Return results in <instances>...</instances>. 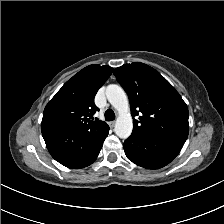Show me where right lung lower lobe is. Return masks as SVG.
<instances>
[{
	"label": "right lung lower lobe",
	"mask_w": 224,
	"mask_h": 224,
	"mask_svg": "<svg viewBox=\"0 0 224 224\" xmlns=\"http://www.w3.org/2000/svg\"><path fill=\"white\" fill-rule=\"evenodd\" d=\"M41 130L46 146L56 161L69 168H83L97 158L109 126L84 132L46 123L41 125Z\"/></svg>",
	"instance_id": "obj_1"
}]
</instances>
